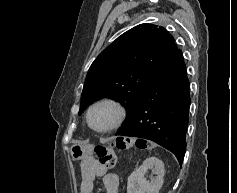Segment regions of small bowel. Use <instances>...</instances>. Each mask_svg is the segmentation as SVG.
Here are the masks:
<instances>
[{"label":"small bowel","instance_id":"c3829d8e","mask_svg":"<svg viewBox=\"0 0 237 193\" xmlns=\"http://www.w3.org/2000/svg\"><path fill=\"white\" fill-rule=\"evenodd\" d=\"M97 177L103 179L106 193H119L118 176L100 167V165L93 159L86 160L83 165L80 193H94L95 180Z\"/></svg>","mask_w":237,"mask_h":193}]
</instances>
